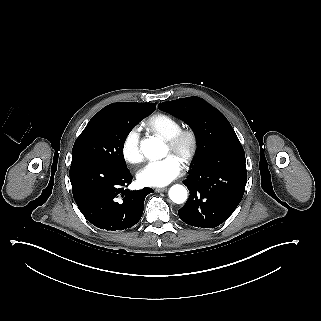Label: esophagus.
<instances>
[{"mask_svg":"<svg viewBox=\"0 0 321 321\" xmlns=\"http://www.w3.org/2000/svg\"><path fill=\"white\" fill-rule=\"evenodd\" d=\"M168 188L164 187V188H157L155 189V192L160 193V192H165Z\"/></svg>","mask_w":321,"mask_h":321,"instance_id":"obj_1","label":"esophagus"}]
</instances>
